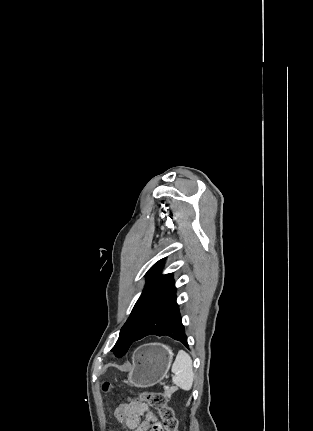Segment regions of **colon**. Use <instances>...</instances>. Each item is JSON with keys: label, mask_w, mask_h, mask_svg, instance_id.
<instances>
[{"label": "colon", "mask_w": 313, "mask_h": 431, "mask_svg": "<svg viewBox=\"0 0 313 431\" xmlns=\"http://www.w3.org/2000/svg\"><path fill=\"white\" fill-rule=\"evenodd\" d=\"M105 392L110 390L109 383L102 385ZM136 403H141L157 413L158 421L153 426V431H177V420L171 407L168 406L167 398L159 392H142L134 398Z\"/></svg>", "instance_id": "1"}]
</instances>
